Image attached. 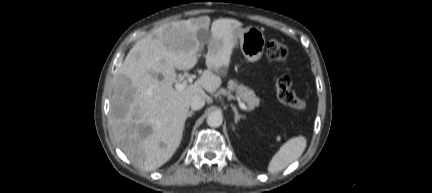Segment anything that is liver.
<instances>
[{"mask_svg": "<svg viewBox=\"0 0 432 193\" xmlns=\"http://www.w3.org/2000/svg\"><path fill=\"white\" fill-rule=\"evenodd\" d=\"M241 26L228 18L211 23L207 70L182 91L173 87L175 70H189L198 62L209 17L165 24L132 47L114 76L109 111L114 139L131 162L151 171L173 156L182 140L191 98L199 94L212 101L206 92L220 87L221 78L215 72L229 66L234 32ZM143 128L145 134H141Z\"/></svg>", "mask_w": 432, "mask_h": 193, "instance_id": "6515ba94", "label": "liver"}]
</instances>
